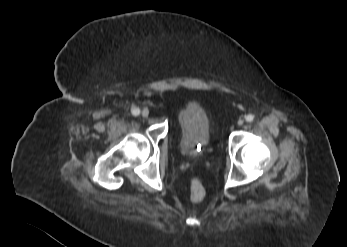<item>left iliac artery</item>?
Masks as SVG:
<instances>
[{
	"label": "left iliac artery",
	"instance_id": "obj_1",
	"mask_svg": "<svg viewBox=\"0 0 347 247\" xmlns=\"http://www.w3.org/2000/svg\"><path fill=\"white\" fill-rule=\"evenodd\" d=\"M245 119H246L247 122H252L253 119H254V116L252 114H249V115L246 116Z\"/></svg>",
	"mask_w": 347,
	"mask_h": 247
}]
</instances>
